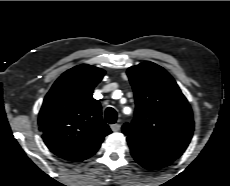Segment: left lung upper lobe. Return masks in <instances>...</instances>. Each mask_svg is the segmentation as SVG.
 I'll return each mask as SVG.
<instances>
[{
	"instance_id": "5c2ea615",
	"label": "left lung upper lobe",
	"mask_w": 230,
	"mask_h": 186,
	"mask_svg": "<svg viewBox=\"0 0 230 186\" xmlns=\"http://www.w3.org/2000/svg\"><path fill=\"white\" fill-rule=\"evenodd\" d=\"M135 95V118L122 127L131 153L172 162L193 135V114L172 76L146 61L127 70Z\"/></svg>"
}]
</instances>
